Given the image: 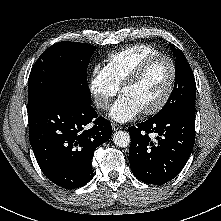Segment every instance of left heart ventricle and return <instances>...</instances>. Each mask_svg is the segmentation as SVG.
Listing matches in <instances>:
<instances>
[{"instance_id": "b2bd125f", "label": "left heart ventricle", "mask_w": 221, "mask_h": 221, "mask_svg": "<svg viewBox=\"0 0 221 221\" xmlns=\"http://www.w3.org/2000/svg\"><path fill=\"white\" fill-rule=\"evenodd\" d=\"M171 77V67L167 60L156 59L146 69L142 77L122 92L140 110L155 106L165 94Z\"/></svg>"}]
</instances>
